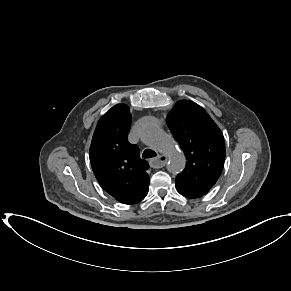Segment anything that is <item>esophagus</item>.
Segmentation results:
<instances>
[{
    "label": "esophagus",
    "mask_w": 291,
    "mask_h": 291,
    "mask_svg": "<svg viewBox=\"0 0 291 291\" xmlns=\"http://www.w3.org/2000/svg\"><path fill=\"white\" fill-rule=\"evenodd\" d=\"M167 157L165 155H158L156 158L150 160V166L152 168H161L167 164Z\"/></svg>",
    "instance_id": "34e87169"
}]
</instances>
